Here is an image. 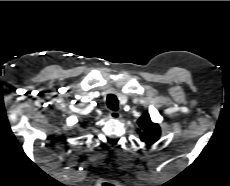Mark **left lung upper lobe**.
Instances as JSON below:
<instances>
[{
  "instance_id": "obj_1",
  "label": "left lung upper lobe",
  "mask_w": 230,
  "mask_h": 186,
  "mask_svg": "<svg viewBox=\"0 0 230 186\" xmlns=\"http://www.w3.org/2000/svg\"><path fill=\"white\" fill-rule=\"evenodd\" d=\"M138 125L141 129L140 138L146 144H152L156 142L161 134V130L158 124L153 123L148 114L142 115L138 120Z\"/></svg>"
}]
</instances>
